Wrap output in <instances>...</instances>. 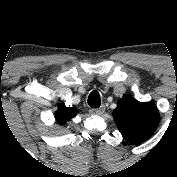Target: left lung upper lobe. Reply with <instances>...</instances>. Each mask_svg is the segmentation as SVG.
Masks as SVG:
<instances>
[{"instance_id":"1","label":"left lung upper lobe","mask_w":177,"mask_h":177,"mask_svg":"<svg viewBox=\"0 0 177 177\" xmlns=\"http://www.w3.org/2000/svg\"><path fill=\"white\" fill-rule=\"evenodd\" d=\"M113 118L120 133L130 144H140L149 139L160 120L153 102L141 103L128 95L118 101Z\"/></svg>"}]
</instances>
